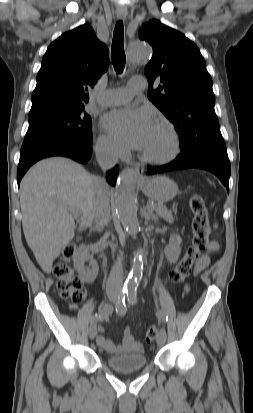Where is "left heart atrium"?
Here are the masks:
<instances>
[{
	"label": "left heart atrium",
	"instance_id": "39dd6f15",
	"mask_svg": "<svg viewBox=\"0 0 253 413\" xmlns=\"http://www.w3.org/2000/svg\"><path fill=\"white\" fill-rule=\"evenodd\" d=\"M105 124L122 142L141 149L153 126L149 113L144 109L113 111L106 116Z\"/></svg>",
	"mask_w": 253,
	"mask_h": 413
}]
</instances>
